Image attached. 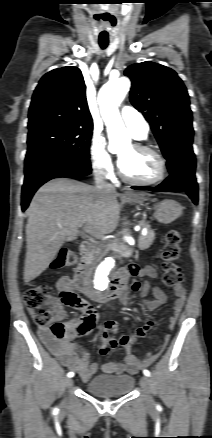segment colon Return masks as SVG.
Masks as SVG:
<instances>
[{"label":"colon","mask_w":212,"mask_h":438,"mask_svg":"<svg viewBox=\"0 0 212 438\" xmlns=\"http://www.w3.org/2000/svg\"><path fill=\"white\" fill-rule=\"evenodd\" d=\"M181 255V235L177 229L167 231L162 248L163 281L168 286L180 285L183 282L182 269L178 264ZM76 255L73 251L62 249L53 260L51 267L63 269L75 264ZM62 302L72 306L78 302L79 297L74 291H66L60 296ZM27 310L36 325L47 328L57 339L69 336L64 324L55 319L56 301L49 287L37 285L29 288L24 295ZM87 328L80 325L73 331L76 335H84ZM72 333V334H73Z\"/></svg>","instance_id":"5ec220e1"}]
</instances>
